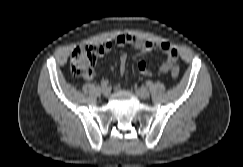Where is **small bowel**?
<instances>
[{"mask_svg": "<svg viewBox=\"0 0 243 167\" xmlns=\"http://www.w3.org/2000/svg\"><path fill=\"white\" fill-rule=\"evenodd\" d=\"M116 44L118 46L121 45H130L138 50V57H141L155 49H160L166 54V59L159 66V71L162 73H167L173 64L178 60V50L173 47L171 44L167 42H154L151 40L141 39L131 34H121L116 38ZM111 43L103 42L99 45L95 46L96 54L100 57L109 53L111 50ZM127 54L122 53L119 56V64H120V74L123 75L126 68L127 63ZM137 68L139 72L144 76H150L152 72L147 67V64L144 60H139L137 63ZM95 74L92 72L88 79L94 78Z\"/></svg>", "mask_w": 243, "mask_h": 167, "instance_id": "small-bowel-1", "label": "small bowel"}]
</instances>
